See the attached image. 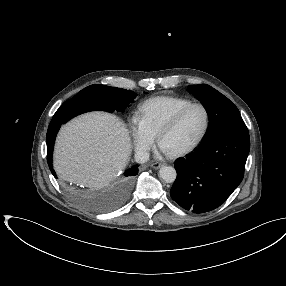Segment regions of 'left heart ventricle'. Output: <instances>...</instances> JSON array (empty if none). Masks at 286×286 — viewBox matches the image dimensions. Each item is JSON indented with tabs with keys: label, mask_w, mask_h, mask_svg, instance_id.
I'll use <instances>...</instances> for the list:
<instances>
[{
	"label": "left heart ventricle",
	"mask_w": 286,
	"mask_h": 286,
	"mask_svg": "<svg viewBox=\"0 0 286 286\" xmlns=\"http://www.w3.org/2000/svg\"><path fill=\"white\" fill-rule=\"evenodd\" d=\"M204 123L203 110L200 107L191 108L177 125L164 135L161 148L173 153L189 147L201 134Z\"/></svg>",
	"instance_id": "1"
}]
</instances>
